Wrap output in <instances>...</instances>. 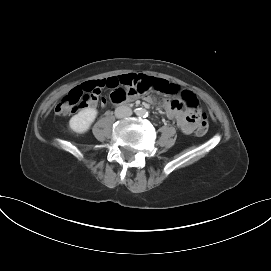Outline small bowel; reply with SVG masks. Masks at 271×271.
<instances>
[{"instance_id":"1","label":"small bowel","mask_w":271,"mask_h":271,"mask_svg":"<svg viewBox=\"0 0 271 271\" xmlns=\"http://www.w3.org/2000/svg\"><path fill=\"white\" fill-rule=\"evenodd\" d=\"M88 85H92L97 90V94L88 101L87 106L96 105L98 103L100 90L102 88H109L113 90L110 94L111 102H128L136 97H145L148 103H155L162 106L167 116L177 121L180 130L184 134L192 133L196 127L194 119L196 111L194 109L179 105V101L176 98L160 100L148 95V91H158L165 95L174 94L177 91V86L165 79L151 77L145 74L129 73L84 82L80 86L84 88Z\"/></svg>"}]
</instances>
